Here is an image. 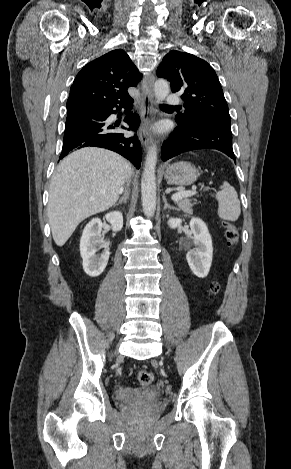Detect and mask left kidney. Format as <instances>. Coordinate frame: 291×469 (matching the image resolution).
Instances as JSON below:
<instances>
[{
  "label": "left kidney",
  "instance_id": "1",
  "mask_svg": "<svg viewBox=\"0 0 291 469\" xmlns=\"http://www.w3.org/2000/svg\"><path fill=\"white\" fill-rule=\"evenodd\" d=\"M181 223L180 218H170L168 221L170 228H176ZM189 225L194 235L195 248L187 253L186 259L192 272L199 278H205L210 271L213 258L211 235L206 224L199 218H192Z\"/></svg>",
  "mask_w": 291,
  "mask_h": 469
}]
</instances>
